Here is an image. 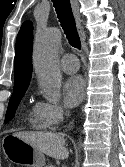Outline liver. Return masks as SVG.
Here are the masks:
<instances>
[{
  "label": "liver",
  "mask_w": 125,
  "mask_h": 167,
  "mask_svg": "<svg viewBox=\"0 0 125 167\" xmlns=\"http://www.w3.org/2000/svg\"><path fill=\"white\" fill-rule=\"evenodd\" d=\"M15 137L22 139L49 157L64 160L69 156L65 148L63 134L52 132H17Z\"/></svg>",
  "instance_id": "liver-1"
}]
</instances>
